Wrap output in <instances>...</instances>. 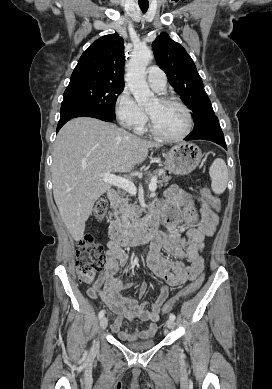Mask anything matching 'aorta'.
Instances as JSON below:
<instances>
[{"label":"aorta","instance_id":"762f6f07","mask_svg":"<svg viewBox=\"0 0 272 389\" xmlns=\"http://www.w3.org/2000/svg\"><path fill=\"white\" fill-rule=\"evenodd\" d=\"M153 59L152 51L145 46L135 47L127 64L126 81L139 106L156 101L146 82V67Z\"/></svg>","mask_w":272,"mask_h":389}]
</instances>
